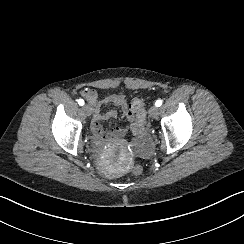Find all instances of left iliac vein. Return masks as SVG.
<instances>
[{"mask_svg":"<svg viewBox=\"0 0 244 244\" xmlns=\"http://www.w3.org/2000/svg\"><path fill=\"white\" fill-rule=\"evenodd\" d=\"M159 114V108L157 106H152L149 108V115L152 118H156Z\"/></svg>","mask_w":244,"mask_h":244,"instance_id":"obj_1","label":"left iliac vein"}]
</instances>
